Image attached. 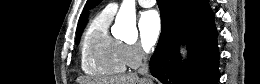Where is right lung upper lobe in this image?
<instances>
[{
  "label": "right lung upper lobe",
  "mask_w": 260,
  "mask_h": 84,
  "mask_svg": "<svg viewBox=\"0 0 260 84\" xmlns=\"http://www.w3.org/2000/svg\"><path fill=\"white\" fill-rule=\"evenodd\" d=\"M86 24V16L85 15H81L79 22H78V26H77V33L78 32H82V30L84 29Z\"/></svg>",
  "instance_id": "obj_1"
}]
</instances>
